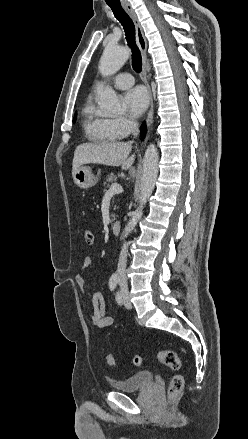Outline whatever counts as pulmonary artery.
<instances>
[{
	"mask_svg": "<svg viewBox=\"0 0 248 439\" xmlns=\"http://www.w3.org/2000/svg\"><path fill=\"white\" fill-rule=\"evenodd\" d=\"M113 83L118 89H126L134 84V78L129 73H120L114 78Z\"/></svg>",
	"mask_w": 248,
	"mask_h": 439,
	"instance_id": "obj_1",
	"label": "pulmonary artery"
}]
</instances>
